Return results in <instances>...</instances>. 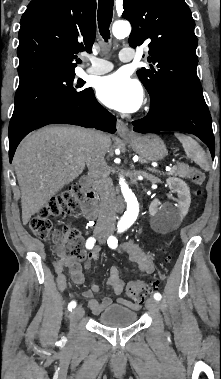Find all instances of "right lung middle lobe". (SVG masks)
I'll return each mask as SVG.
<instances>
[{
  "label": "right lung middle lobe",
  "mask_w": 221,
  "mask_h": 379,
  "mask_svg": "<svg viewBox=\"0 0 221 379\" xmlns=\"http://www.w3.org/2000/svg\"><path fill=\"white\" fill-rule=\"evenodd\" d=\"M83 85L82 80H75L74 71L44 73L20 81L9 137L38 117L80 101L91 90Z\"/></svg>",
  "instance_id": "obj_1"
}]
</instances>
